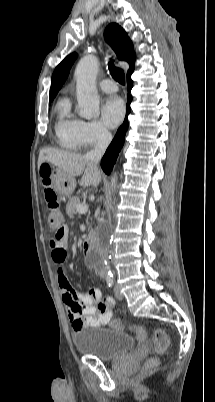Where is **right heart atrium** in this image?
Wrapping results in <instances>:
<instances>
[{
    "label": "right heart atrium",
    "mask_w": 215,
    "mask_h": 402,
    "mask_svg": "<svg viewBox=\"0 0 215 402\" xmlns=\"http://www.w3.org/2000/svg\"><path fill=\"white\" fill-rule=\"evenodd\" d=\"M76 133L79 144L83 147L102 144L110 136L104 125L96 120H79Z\"/></svg>",
    "instance_id": "right-heart-atrium-1"
}]
</instances>
